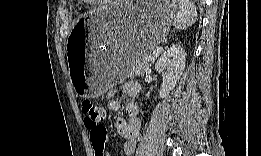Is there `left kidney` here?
Listing matches in <instances>:
<instances>
[{
	"label": "left kidney",
	"mask_w": 261,
	"mask_h": 156,
	"mask_svg": "<svg viewBox=\"0 0 261 156\" xmlns=\"http://www.w3.org/2000/svg\"><path fill=\"white\" fill-rule=\"evenodd\" d=\"M185 63V52L180 45H173L158 59L155 70L163 77L159 91L160 98H165L175 88L185 69Z\"/></svg>",
	"instance_id": "left-kidney-1"
}]
</instances>
